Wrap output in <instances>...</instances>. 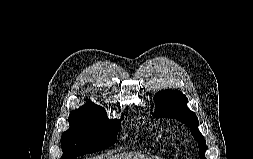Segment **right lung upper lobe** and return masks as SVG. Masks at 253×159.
I'll return each instance as SVG.
<instances>
[{
	"label": "right lung upper lobe",
	"mask_w": 253,
	"mask_h": 159,
	"mask_svg": "<svg viewBox=\"0 0 253 159\" xmlns=\"http://www.w3.org/2000/svg\"><path fill=\"white\" fill-rule=\"evenodd\" d=\"M87 104H93V103H92V102H90V103L88 102V103H86L85 105H87Z\"/></svg>",
	"instance_id": "obj_1"
}]
</instances>
